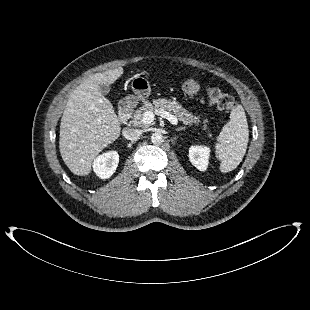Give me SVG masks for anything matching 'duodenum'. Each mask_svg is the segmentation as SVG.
I'll use <instances>...</instances> for the list:
<instances>
[{
    "mask_svg": "<svg viewBox=\"0 0 310 310\" xmlns=\"http://www.w3.org/2000/svg\"><path fill=\"white\" fill-rule=\"evenodd\" d=\"M133 110V105L131 100L126 99L121 102L119 106V120L121 123H125L131 116Z\"/></svg>",
    "mask_w": 310,
    "mask_h": 310,
    "instance_id": "duodenum-1",
    "label": "duodenum"
}]
</instances>
